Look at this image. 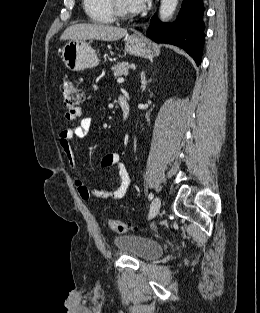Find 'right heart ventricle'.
I'll return each mask as SVG.
<instances>
[{"mask_svg":"<svg viewBox=\"0 0 260 313\" xmlns=\"http://www.w3.org/2000/svg\"><path fill=\"white\" fill-rule=\"evenodd\" d=\"M87 16L96 23L108 24L113 21L107 0H82Z\"/></svg>","mask_w":260,"mask_h":313,"instance_id":"right-heart-ventricle-1","label":"right heart ventricle"}]
</instances>
